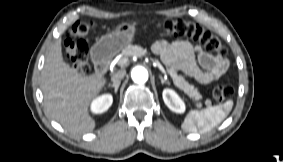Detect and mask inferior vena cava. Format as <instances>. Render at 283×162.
I'll list each match as a JSON object with an SVG mask.
<instances>
[{
	"mask_svg": "<svg viewBox=\"0 0 283 162\" xmlns=\"http://www.w3.org/2000/svg\"><path fill=\"white\" fill-rule=\"evenodd\" d=\"M125 75H126V71L120 70L112 75L111 81L113 82V84H118L121 82V80L124 78Z\"/></svg>",
	"mask_w": 283,
	"mask_h": 162,
	"instance_id": "obj_1",
	"label": "inferior vena cava"
}]
</instances>
